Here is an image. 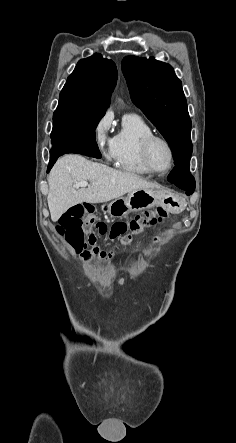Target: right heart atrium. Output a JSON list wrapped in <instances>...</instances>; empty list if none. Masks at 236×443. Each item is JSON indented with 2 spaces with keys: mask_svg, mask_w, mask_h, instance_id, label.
<instances>
[{
  "mask_svg": "<svg viewBox=\"0 0 236 443\" xmlns=\"http://www.w3.org/2000/svg\"><path fill=\"white\" fill-rule=\"evenodd\" d=\"M112 113H104L95 123L92 130V138L96 148L106 158L112 159L114 137L110 136V126L112 123Z\"/></svg>",
  "mask_w": 236,
  "mask_h": 443,
  "instance_id": "1",
  "label": "right heart atrium"
}]
</instances>
